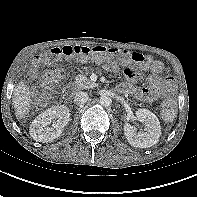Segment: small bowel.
I'll use <instances>...</instances> for the list:
<instances>
[{
  "label": "small bowel",
  "mask_w": 197,
  "mask_h": 197,
  "mask_svg": "<svg viewBox=\"0 0 197 197\" xmlns=\"http://www.w3.org/2000/svg\"><path fill=\"white\" fill-rule=\"evenodd\" d=\"M124 75L127 80L119 87L123 92L131 93L136 99L144 101H156L163 97H167L168 101H173L172 95L175 90L173 80L169 77L161 76L164 66L160 61H153L150 64L149 70L151 75L147 79V85L137 86L138 76L130 66V61H121Z\"/></svg>",
  "instance_id": "small-bowel-1"
}]
</instances>
